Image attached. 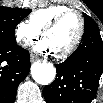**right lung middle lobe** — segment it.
<instances>
[{
    "label": "right lung middle lobe",
    "mask_w": 103,
    "mask_h": 103,
    "mask_svg": "<svg viewBox=\"0 0 103 103\" xmlns=\"http://www.w3.org/2000/svg\"><path fill=\"white\" fill-rule=\"evenodd\" d=\"M30 9L0 7V41L16 42L15 27L28 14Z\"/></svg>",
    "instance_id": "obj_1"
}]
</instances>
